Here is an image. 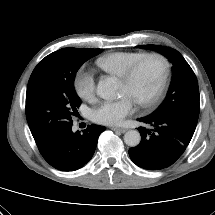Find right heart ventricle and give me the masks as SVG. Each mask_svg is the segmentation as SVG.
<instances>
[{
	"label": "right heart ventricle",
	"instance_id": "obj_1",
	"mask_svg": "<svg viewBox=\"0 0 215 215\" xmlns=\"http://www.w3.org/2000/svg\"><path fill=\"white\" fill-rule=\"evenodd\" d=\"M145 54L138 51L114 52L100 57L97 65L105 72L121 78L126 70Z\"/></svg>",
	"mask_w": 215,
	"mask_h": 215
}]
</instances>
